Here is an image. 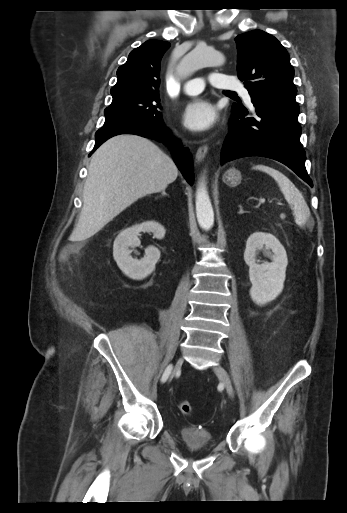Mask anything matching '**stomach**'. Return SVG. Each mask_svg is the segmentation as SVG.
<instances>
[{"mask_svg": "<svg viewBox=\"0 0 347 513\" xmlns=\"http://www.w3.org/2000/svg\"><path fill=\"white\" fill-rule=\"evenodd\" d=\"M224 182L229 186H235L242 180L241 173L235 168H230L223 175Z\"/></svg>", "mask_w": 347, "mask_h": 513, "instance_id": "stomach-1", "label": "stomach"}]
</instances>
